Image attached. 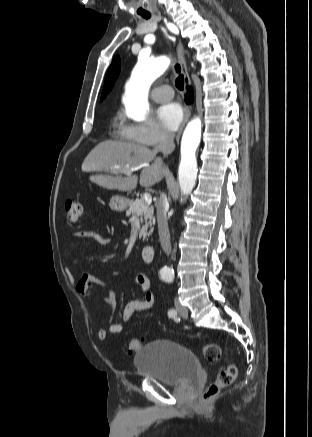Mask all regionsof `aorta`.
Returning a JSON list of instances; mask_svg holds the SVG:
<instances>
[{
  "label": "aorta",
  "mask_w": 312,
  "mask_h": 437,
  "mask_svg": "<svg viewBox=\"0 0 312 437\" xmlns=\"http://www.w3.org/2000/svg\"><path fill=\"white\" fill-rule=\"evenodd\" d=\"M170 65L166 56L158 58L140 57L132 76L126 86L124 99L126 114L137 122L146 119L149 109L148 93L151 84L162 75ZM201 139V120L195 118L190 121L183 133L181 140V161L179 165V186L182 195H189L197 178L196 150ZM164 271L170 272L165 267Z\"/></svg>",
  "instance_id": "1"
}]
</instances>
